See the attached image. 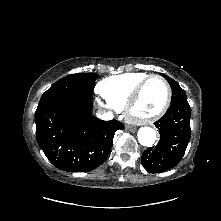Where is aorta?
I'll use <instances>...</instances> for the list:
<instances>
[{
  "label": "aorta",
  "instance_id": "762f6f07",
  "mask_svg": "<svg viewBox=\"0 0 221 221\" xmlns=\"http://www.w3.org/2000/svg\"><path fill=\"white\" fill-rule=\"evenodd\" d=\"M137 136L139 143L147 147H151L157 139L156 131L151 127H141Z\"/></svg>",
  "mask_w": 221,
  "mask_h": 221
}]
</instances>
